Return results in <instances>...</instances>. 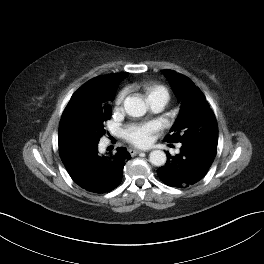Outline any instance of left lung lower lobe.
I'll list each match as a JSON object with an SVG mask.
<instances>
[{"label": "left lung lower lobe", "instance_id": "0a47b994", "mask_svg": "<svg viewBox=\"0 0 264 264\" xmlns=\"http://www.w3.org/2000/svg\"><path fill=\"white\" fill-rule=\"evenodd\" d=\"M216 150L217 146L210 143H183L178 155L167 153V162L157 173L168 186L189 187L205 176L216 156Z\"/></svg>", "mask_w": 264, "mask_h": 264}]
</instances>
